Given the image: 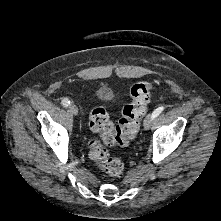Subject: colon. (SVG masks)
Segmentation results:
<instances>
[{
  "mask_svg": "<svg viewBox=\"0 0 221 221\" xmlns=\"http://www.w3.org/2000/svg\"><path fill=\"white\" fill-rule=\"evenodd\" d=\"M152 88L150 82H139L132 86L131 102L124 107L117 125L111 122L103 107H95L90 113L89 126L101 139L90 142L89 157L110 177L121 175L124 164L120 159L111 157L107 147L127 146L136 137Z\"/></svg>",
  "mask_w": 221,
  "mask_h": 221,
  "instance_id": "5ec220e1",
  "label": "colon"
}]
</instances>
